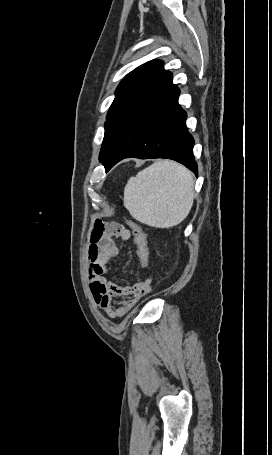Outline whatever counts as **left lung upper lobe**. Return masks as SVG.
<instances>
[{
  "instance_id": "obj_1",
  "label": "left lung upper lobe",
  "mask_w": 272,
  "mask_h": 455,
  "mask_svg": "<svg viewBox=\"0 0 272 455\" xmlns=\"http://www.w3.org/2000/svg\"><path fill=\"white\" fill-rule=\"evenodd\" d=\"M171 82L172 73L163 68L160 60L144 63L126 75L116 89L115 99L106 117L100 162L126 124Z\"/></svg>"
}]
</instances>
